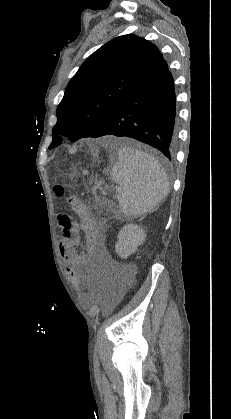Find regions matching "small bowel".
<instances>
[{
  "instance_id": "small-bowel-1",
  "label": "small bowel",
  "mask_w": 231,
  "mask_h": 419,
  "mask_svg": "<svg viewBox=\"0 0 231 419\" xmlns=\"http://www.w3.org/2000/svg\"><path fill=\"white\" fill-rule=\"evenodd\" d=\"M59 225L63 232V237L59 242V252L66 262L68 275L75 281L79 288V272L77 268L87 263L86 250L88 247L86 246L81 252L78 251V248L82 247L80 229L70 213H61L59 216ZM97 256L100 259H104L106 254L102 249H99ZM126 288V284L119 280H114L110 286L106 287L103 292L105 308L111 309L118 304L122 300Z\"/></svg>"
}]
</instances>
